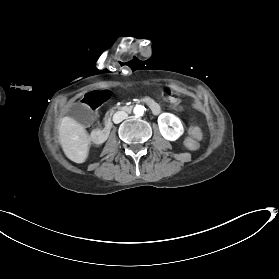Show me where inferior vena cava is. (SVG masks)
<instances>
[{
  "label": "inferior vena cava",
  "instance_id": "obj_1",
  "mask_svg": "<svg viewBox=\"0 0 279 279\" xmlns=\"http://www.w3.org/2000/svg\"><path fill=\"white\" fill-rule=\"evenodd\" d=\"M128 115L124 111H118L116 114L113 116V121L115 123L121 122L123 119H127Z\"/></svg>",
  "mask_w": 279,
  "mask_h": 279
}]
</instances>
